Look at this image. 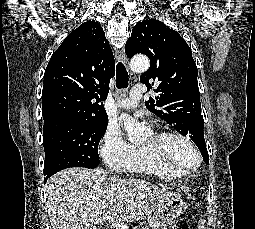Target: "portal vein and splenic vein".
<instances>
[{"instance_id": "obj_1", "label": "portal vein and splenic vein", "mask_w": 255, "mask_h": 229, "mask_svg": "<svg viewBox=\"0 0 255 229\" xmlns=\"http://www.w3.org/2000/svg\"><path fill=\"white\" fill-rule=\"evenodd\" d=\"M113 202H115V199H113V200L110 201V203H113Z\"/></svg>"}]
</instances>
